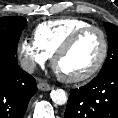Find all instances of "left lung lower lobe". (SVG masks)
<instances>
[{
	"label": "left lung lower lobe",
	"mask_w": 118,
	"mask_h": 118,
	"mask_svg": "<svg viewBox=\"0 0 118 118\" xmlns=\"http://www.w3.org/2000/svg\"><path fill=\"white\" fill-rule=\"evenodd\" d=\"M65 118H118V69L71 90Z\"/></svg>",
	"instance_id": "1"
}]
</instances>
